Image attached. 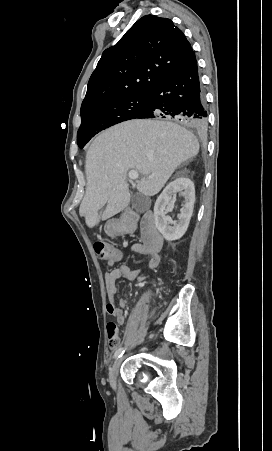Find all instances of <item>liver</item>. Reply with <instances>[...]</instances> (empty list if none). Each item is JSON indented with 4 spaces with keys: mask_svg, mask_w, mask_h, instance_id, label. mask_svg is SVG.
Returning <instances> with one entry per match:
<instances>
[{
    "mask_svg": "<svg viewBox=\"0 0 272 451\" xmlns=\"http://www.w3.org/2000/svg\"><path fill=\"white\" fill-rule=\"evenodd\" d=\"M199 142L189 130L163 120H129L104 130L92 142L86 156V194L79 214L88 227L100 222L99 210L107 204L101 220H108L129 206L127 172L142 178L138 192L155 196L177 166L194 158Z\"/></svg>",
    "mask_w": 272,
    "mask_h": 451,
    "instance_id": "obj_1",
    "label": "liver"
}]
</instances>
